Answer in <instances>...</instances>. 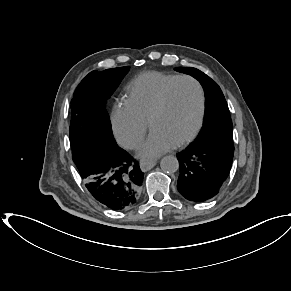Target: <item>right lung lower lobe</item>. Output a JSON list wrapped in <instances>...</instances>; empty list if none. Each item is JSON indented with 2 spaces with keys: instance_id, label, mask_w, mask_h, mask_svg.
<instances>
[{
  "instance_id": "obj_1",
  "label": "right lung lower lobe",
  "mask_w": 291,
  "mask_h": 291,
  "mask_svg": "<svg viewBox=\"0 0 291 291\" xmlns=\"http://www.w3.org/2000/svg\"><path fill=\"white\" fill-rule=\"evenodd\" d=\"M74 162L88 191L107 208L125 210L139 199L144 173L118 145L97 147Z\"/></svg>"
}]
</instances>
